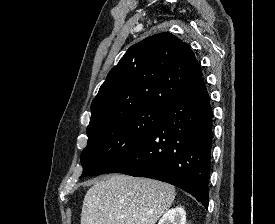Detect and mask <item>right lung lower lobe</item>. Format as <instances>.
<instances>
[{
    "mask_svg": "<svg viewBox=\"0 0 275 224\" xmlns=\"http://www.w3.org/2000/svg\"><path fill=\"white\" fill-rule=\"evenodd\" d=\"M212 108L203 78L170 105L152 132L106 172L175 185L208 207Z\"/></svg>",
    "mask_w": 275,
    "mask_h": 224,
    "instance_id": "1",
    "label": "right lung lower lobe"
}]
</instances>
